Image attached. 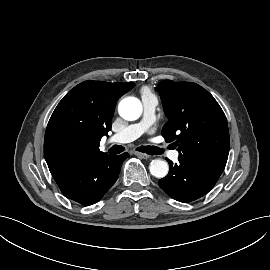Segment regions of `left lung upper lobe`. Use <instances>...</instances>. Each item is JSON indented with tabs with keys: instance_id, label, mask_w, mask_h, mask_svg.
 I'll return each mask as SVG.
<instances>
[{
	"instance_id": "obj_1",
	"label": "left lung upper lobe",
	"mask_w": 270,
	"mask_h": 270,
	"mask_svg": "<svg viewBox=\"0 0 270 270\" xmlns=\"http://www.w3.org/2000/svg\"><path fill=\"white\" fill-rule=\"evenodd\" d=\"M157 90L168 118L162 129L166 142H173L181 157L225 168L228 124L214 97L192 82L164 80Z\"/></svg>"
}]
</instances>
